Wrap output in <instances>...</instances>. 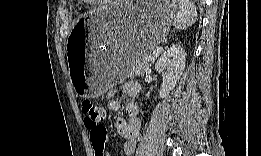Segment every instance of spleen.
Returning a JSON list of instances; mask_svg holds the SVG:
<instances>
[{
    "label": "spleen",
    "mask_w": 261,
    "mask_h": 156,
    "mask_svg": "<svg viewBox=\"0 0 261 156\" xmlns=\"http://www.w3.org/2000/svg\"><path fill=\"white\" fill-rule=\"evenodd\" d=\"M178 11L174 18V25L178 30H184L193 25L197 19L196 7L192 1L179 0Z\"/></svg>",
    "instance_id": "spleen-1"
}]
</instances>
